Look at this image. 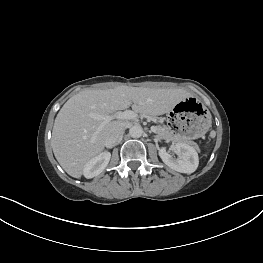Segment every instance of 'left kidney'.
Masks as SVG:
<instances>
[{"label":"left kidney","instance_id":"1","mask_svg":"<svg viewBox=\"0 0 263 263\" xmlns=\"http://www.w3.org/2000/svg\"><path fill=\"white\" fill-rule=\"evenodd\" d=\"M174 148L179 155L177 158L170 155L166 148L159 149V156L162 161L168 167L180 173L191 174L195 172L199 164L197 151L185 143H176Z\"/></svg>","mask_w":263,"mask_h":263}]
</instances>
